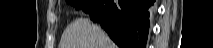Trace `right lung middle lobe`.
<instances>
[{
	"instance_id": "right-lung-middle-lobe-1",
	"label": "right lung middle lobe",
	"mask_w": 213,
	"mask_h": 48,
	"mask_svg": "<svg viewBox=\"0 0 213 48\" xmlns=\"http://www.w3.org/2000/svg\"><path fill=\"white\" fill-rule=\"evenodd\" d=\"M97 0H68L67 3L76 9H84L88 12Z\"/></svg>"
}]
</instances>
